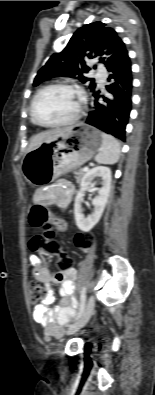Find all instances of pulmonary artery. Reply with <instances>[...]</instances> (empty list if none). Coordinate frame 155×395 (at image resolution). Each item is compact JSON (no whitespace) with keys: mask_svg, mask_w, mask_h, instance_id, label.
Masks as SVG:
<instances>
[{"mask_svg":"<svg viewBox=\"0 0 155 395\" xmlns=\"http://www.w3.org/2000/svg\"><path fill=\"white\" fill-rule=\"evenodd\" d=\"M96 76L98 78L99 83L103 85L106 81V76H107L105 70L99 67Z\"/></svg>","mask_w":155,"mask_h":395,"instance_id":"obj_1","label":"pulmonary artery"}]
</instances>
